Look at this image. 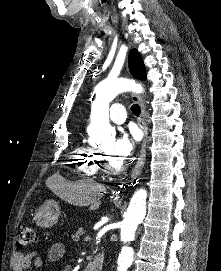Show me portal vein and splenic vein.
I'll return each instance as SVG.
<instances>
[{"mask_svg": "<svg viewBox=\"0 0 221 271\" xmlns=\"http://www.w3.org/2000/svg\"><path fill=\"white\" fill-rule=\"evenodd\" d=\"M84 241H85V242H90V241H91V238H90V237H85V238H84Z\"/></svg>", "mask_w": 221, "mask_h": 271, "instance_id": "18ae733b", "label": "portal vein and splenic vein"}]
</instances>
